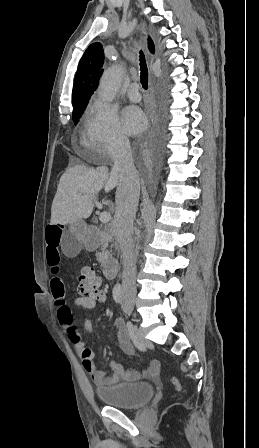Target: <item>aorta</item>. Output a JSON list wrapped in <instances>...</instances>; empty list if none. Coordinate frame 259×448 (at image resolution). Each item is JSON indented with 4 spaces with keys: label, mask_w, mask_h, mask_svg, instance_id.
<instances>
[{
    "label": "aorta",
    "mask_w": 259,
    "mask_h": 448,
    "mask_svg": "<svg viewBox=\"0 0 259 448\" xmlns=\"http://www.w3.org/2000/svg\"><path fill=\"white\" fill-rule=\"evenodd\" d=\"M122 77V70L113 66L106 70L99 82L98 95L105 102H112L115 98Z\"/></svg>",
    "instance_id": "1"
}]
</instances>
